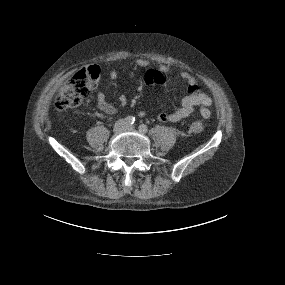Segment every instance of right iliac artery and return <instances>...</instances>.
Instances as JSON below:
<instances>
[{
	"instance_id": "1",
	"label": "right iliac artery",
	"mask_w": 285,
	"mask_h": 285,
	"mask_svg": "<svg viewBox=\"0 0 285 285\" xmlns=\"http://www.w3.org/2000/svg\"><path fill=\"white\" fill-rule=\"evenodd\" d=\"M125 120H126V122H127L128 124H133V123L135 122V117H133V116H127V117L125 118Z\"/></svg>"
}]
</instances>
